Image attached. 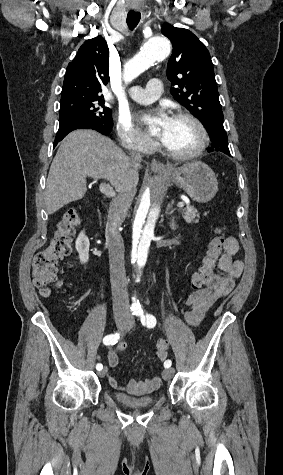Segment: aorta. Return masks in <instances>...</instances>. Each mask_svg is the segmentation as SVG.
Segmentation results:
<instances>
[{"instance_id": "obj_1", "label": "aorta", "mask_w": 283, "mask_h": 475, "mask_svg": "<svg viewBox=\"0 0 283 475\" xmlns=\"http://www.w3.org/2000/svg\"><path fill=\"white\" fill-rule=\"evenodd\" d=\"M170 52L171 44L167 38L157 36L149 39L141 50L125 64L124 81L131 82L155 62L167 58ZM168 189L169 180L166 176L161 174L153 176L143 187L134 211L130 226L131 263L140 274L146 265L156 227L166 206ZM132 299V306L140 308L137 298L133 297Z\"/></svg>"}]
</instances>
